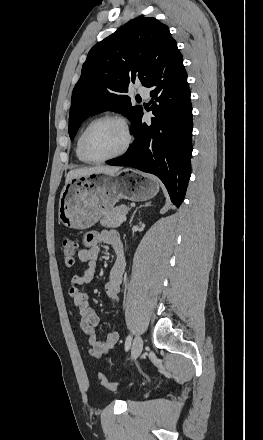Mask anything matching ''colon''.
Returning a JSON list of instances; mask_svg holds the SVG:
<instances>
[{"label":"colon","mask_w":263,"mask_h":440,"mask_svg":"<svg viewBox=\"0 0 263 440\" xmlns=\"http://www.w3.org/2000/svg\"><path fill=\"white\" fill-rule=\"evenodd\" d=\"M76 250H77V243L74 239L69 237L63 238L61 242V253L64 258L65 264L68 267H73L76 263V259H75ZM98 382L104 389L110 391H116L119 388L118 383L108 380L102 374L98 375Z\"/></svg>","instance_id":"obj_1"}]
</instances>
